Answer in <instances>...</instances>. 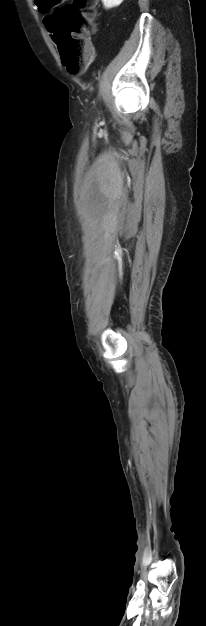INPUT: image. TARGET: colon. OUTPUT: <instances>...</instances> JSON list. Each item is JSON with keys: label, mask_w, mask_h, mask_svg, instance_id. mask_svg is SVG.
<instances>
[{"label": "colon", "mask_w": 206, "mask_h": 626, "mask_svg": "<svg viewBox=\"0 0 206 626\" xmlns=\"http://www.w3.org/2000/svg\"><path fill=\"white\" fill-rule=\"evenodd\" d=\"M42 0L41 9L54 8L47 18L48 31L58 47L62 62L73 73H79L89 55L87 35L94 28L97 0Z\"/></svg>", "instance_id": "obj_1"}]
</instances>
